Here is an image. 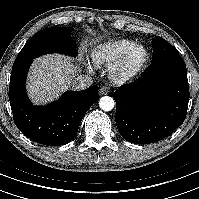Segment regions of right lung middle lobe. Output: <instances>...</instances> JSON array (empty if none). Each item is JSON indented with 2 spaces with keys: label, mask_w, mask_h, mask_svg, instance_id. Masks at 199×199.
Wrapping results in <instances>:
<instances>
[{
  "label": "right lung middle lobe",
  "mask_w": 199,
  "mask_h": 199,
  "mask_svg": "<svg viewBox=\"0 0 199 199\" xmlns=\"http://www.w3.org/2000/svg\"><path fill=\"white\" fill-rule=\"evenodd\" d=\"M70 31L69 27H58L37 32L19 52L13 66L54 52L75 56L77 50L74 40L69 35Z\"/></svg>",
  "instance_id": "right-lung-middle-lobe-1"
}]
</instances>
